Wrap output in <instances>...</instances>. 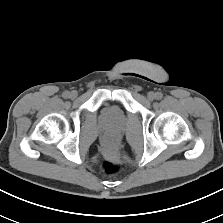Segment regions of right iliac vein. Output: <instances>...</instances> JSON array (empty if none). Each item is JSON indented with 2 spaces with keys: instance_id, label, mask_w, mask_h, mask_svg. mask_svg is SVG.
I'll list each match as a JSON object with an SVG mask.
<instances>
[{
  "instance_id": "63e3f726",
  "label": "right iliac vein",
  "mask_w": 223,
  "mask_h": 223,
  "mask_svg": "<svg viewBox=\"0 0 223 223\" xmlns=\"http://www.w3.org/2000/svg\"><path fill=\"white\" fill-rule=\"evenodd\" d=\"M77 92L76 91H72L71 93H70V97L72 98V99H75L76 97H77Z\"/></svg>"
}]
</instances>
